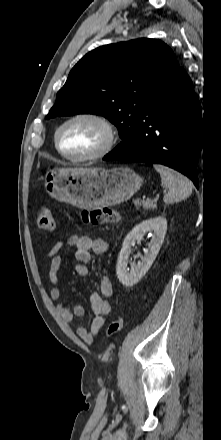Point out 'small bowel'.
<instances>
[{
  "instance_id": "small-bowel-1",
  "label": "small bowel",
  "mask_w": 221,
  "mask_h": 440,
  "mask_svg": "<svg viewBox=\"0 0 221 440\" xmlns=\"http://www.w3.org/2000/svg\"><path fill=\"white\" fill-rule=\"evenodd\" d=\"M65 246H74V257L76 260L75 271L79 276L89 274L88 264L91 261V253L101 255L107 250V243L103 239H91L87 236L73 235L63 241L56 243L48 253L50 261L48 268V279L51 284L50 297L53 300L61 298L59 287L58 272L61 267V256L59 251ZM101 293H92L90 296V305L93 312V319L90 328L79 327L77 335L86 343L92 344L101 328L106 322L107 316L111 312V304L108 298L112 295V284L108 277H104L101 282ZM56 312L65 322H71L75 317H82L85 314L84 308L79 304L68 306L63 302H58Z\"/></svg>"
}]
</instances>
